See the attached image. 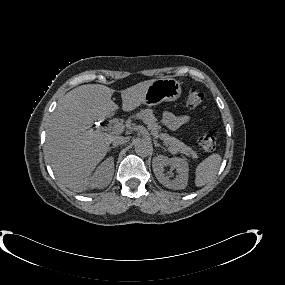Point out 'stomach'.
Masks as SVG:
<instances>
[{
	"mask_svg": "<svg viewBox=\"0 0 285 285\" xmlns=\"http://www.w3.org/2000/svg\"><path fill=\"white\" fill-rule=\"evenodd\" d=\"M181 85L174 78L155 79L147 87L144 104L156 106L163 101H175L181 96Z\"/></svg>",
	"mask_w": 285,
	"mask_h": 285,
	"instance_id": "stomach-1",
	"label": "stomach"
}]
</instances>
